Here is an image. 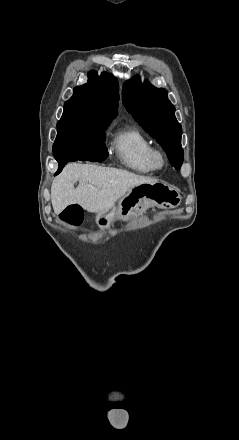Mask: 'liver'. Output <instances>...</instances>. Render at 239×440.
Listing matches in <instances>:
<instances>
[{
    "label": "liver",
    "instance_id": "1",
    "mask_svg": "<svg viewBox=\"0 0 239 440\" xmlns=\"http://www.w3.org/2000/svg\"><path fill=\"white\" fill-rule=\"evenodd\" d=\"M76 190L75 182H78ZM142 184H158L154 178L136 176L126 170L102 168L93 164H67L51 186L54 214H61L70 204H79L87 212H105L127 192Z\"/></svg>",
    "mask_w": 239,
    "mask_h": 440
}]
</instances>
